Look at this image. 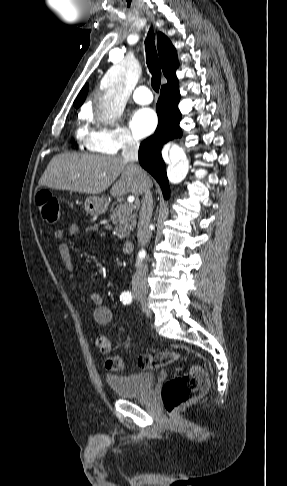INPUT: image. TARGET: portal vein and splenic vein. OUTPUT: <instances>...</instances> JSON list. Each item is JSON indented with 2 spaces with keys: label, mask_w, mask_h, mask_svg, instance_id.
Returning <instances> with one entry per match:
<instances>
[{
  "label": "portal vein and splenic vein",
  "mask_w": 287,
  "mask_h": 486,
  "mask_svg": "<svg viewBox=\"0 0 287 486\" xmlns=\"http://www.w3.org/2000/svg\"><path fill=\"white\" fill-rule=\"evenodd\" d=\"M128 201H129V202H133V201H134V197H129V198H128Z\"/></svg>",
  "instance_id": "1"
}]
</instances>
